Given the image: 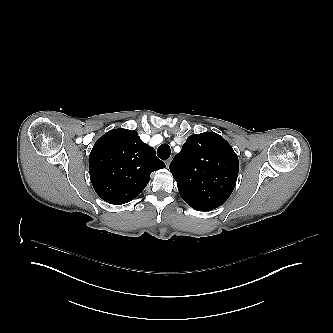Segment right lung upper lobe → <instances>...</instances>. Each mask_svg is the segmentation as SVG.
I'll list each match as a JSON object with an SVG mask.
<instances>
[{
	"instance_id": "1",
	"label": "right lung upper lobe",
	"mask_w": 333,
	"mask_h": 333,
	"mask_svg": "<svg viewBox=\"0 0 333 333\" xmlns=\"http://www.w3.org/2000/svg\"><path fill=\"white\" fill-rule=\"evenodd\" d=\"M165 168L154 148L142 142L136 131L115 129L101 136L89 156L92 185L100 198L114 205L138 196L150 174Z\"/></svg>"
}]
</instances>
